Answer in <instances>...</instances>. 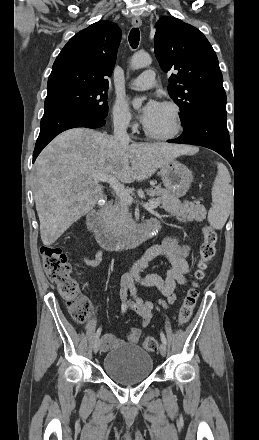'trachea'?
Segmentation results:
<instances>
[{
	"mask_svg": "<svg viewBox=\"0 0 259 440\" xmlns=\"http://www.w3.org/2000/svg\"><path fill=\"white\" fill-rule=\"evenodd\" d=\"M140 41V32L138 28H132L129 33V43L132 48H137Z\"/></svg>",
	"mask_w": 259,
	"mask_h": 440,
	"instance_id": "trachea-1",
	"label": "trachea"
}]
</instances>
